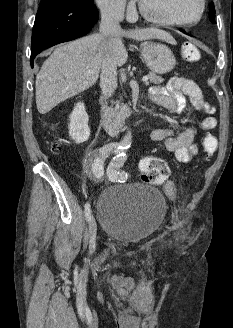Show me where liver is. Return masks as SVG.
<instances>
[{"label": "liver", "mask_w": 233, "mask_h": 328, "mask_svg": "<svg viewBox=\"0 0 233 328\" xmlns=\"http://www.w3.org/2000/svg\"><path fill=\"white\" fill-rule=\"evenodd\" d=\"M122 37L137 41L157 38L175 44L174 38L164 30L140 28L121 30L108 37L95 33L59 46L43 63L36 76L38 112L46 114L59 103L94 85L106 51H109L117 66L124 65L128 53Z\"/></svg>", "instance_id": "6515ba94"}]
</instances>
